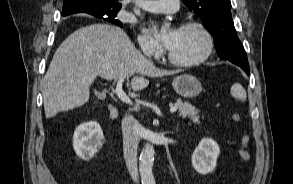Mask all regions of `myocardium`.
I'll return each mask as SVG.
<instances>
[{
    "label": "myocardium",
    "instance_id": "obj_1",
    "mask_svg": "<svg viewBox=\"0 0 293 184\" xmlns=\"http://www.w3.org/2000/svg\"><path fill=\"white\" fill-rule=\"evenodd\" d=\"M180 29H197L201 32V34L205 38V49L203 53L193 59V60H180L175 58L170 51L167 54L168 60L177 65V66H182V67H192V66H197L203 62H205L210 55L212 54L214 50V38L210 30L202 23L196 22V21H189L185 22L180 26Z\"/></svg>",
    "mask_w": 293,
    "mask_h": 184
}]
</instances>
